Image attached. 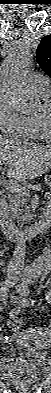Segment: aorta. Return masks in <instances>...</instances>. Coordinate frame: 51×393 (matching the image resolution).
I'll return each mask as SVG.
<instances>
[{
    "label": "aorta",
    "instance_id": "762f6f07",
    "mask_svg": "<svg viewBox=\"0 0 51 393\" xmlns=\"http://www.w3.org/2000/svg\"><path fill=\"white\" fill-rule=\"evenodd\" d=\"M30 51L21 47L13 51L4 61L1 69V91L11 107L20 113H33L40 109L37 93L28 79ZM51 254L46 252L29 265V274L37 276L48 269Z\"/></svg>",
    "mask_w": 51,
    "mask_h": 393
}]
</instances>
